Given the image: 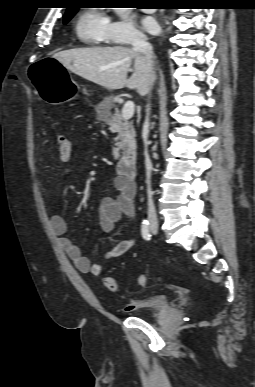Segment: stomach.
I'll return each instance as SVG.
<instances>
[{
    "label": "stomach",
    "mask_w": 255,
    "mask_h": 387,
    "mask_svg": "<svg viewBox=\"0 0 255 387\" xmlns=\"http://www.w3.org/2000/svg\"><path fill=\"white\" fill-rule=\"evenodd\" d=\"M25 72L31 77L33 91H38L47 103L58 105L74 97L75 82L55 58L35 61L33 66L25 67Z\"/></svg>",
    "instance_id": "obj_1"
}]
</instances>
